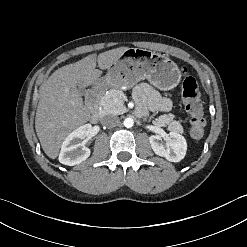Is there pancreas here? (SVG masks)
Masks as SVG:
<instances>
[{"instance_id": "obj_1", "label": "pancreas", "mask_w": 247, "mask_h": 247, "mask_svg": "<svg viewBox=\"0 0 247 247\" xmlns=\"http://www.w3.org/2000/svg\"><path fill=\"white\" fill-rule=\"evenodd\" d=\"M124 93L121 90L110 89L100 100V105L106 114H121L126 111L123 106ZM159 127L168 126V130L183 134V127L179 121L174 120L173 114H164L153 121Z\"/></svg>"}]
</instances>
